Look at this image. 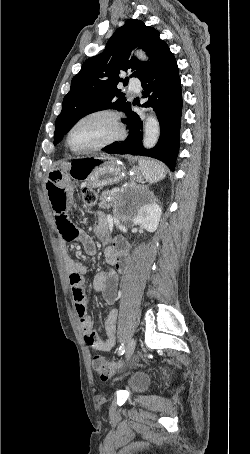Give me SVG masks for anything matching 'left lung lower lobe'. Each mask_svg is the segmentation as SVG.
<instances>
[{
	"label": "left lung lower lobe",
	"mask_w": 250,
	"mask_h": 454,
	"mask_svg": "<svg viewBox=\"0 0 250 454\" xmlns=\"http://www.w3.org/2000/svg\"><path fill=\"white\" fill-rule=\"evenodd\" d=\"M144 98L149 97L143 105L154 108L160 123L161 134L156 146L145 149L141 143L142 121L128 109V119L123 120L130 130L123 142H115L103 150L109 154H132L148 156L164 162L174 171L179 152L180 123L182 114V92L179 69L174 55L169 52L165 58L147 75L140 79Z\"/></svg>",
	"instance_id": "0a47b994"
}]
</instances>
